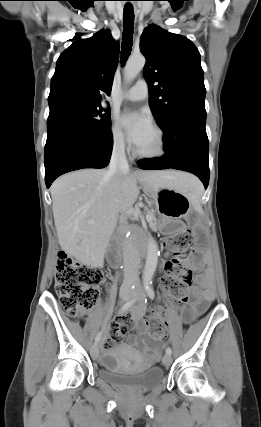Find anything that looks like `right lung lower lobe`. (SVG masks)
I'll return each mask as SVG.
<instances>
[{
	"label": "right lung lower lobe",
	"instance_id": "right-lung-lower-lobe-1",
	"mask_svg": "<svg viewBox=\"0 0 261 427\" xmlns=\"http://www.w3.org/2000/svg\"><path fill=\"white\" fill-rule=\"evenodd\" d=\"M112 144L111 132L98 137L65 131L48 135L44 155L47 188L64 173L106 167L110 161Z\"/></svg>",
	"mask_w": 261,
	"mask_h": 427
}]
</instances>
